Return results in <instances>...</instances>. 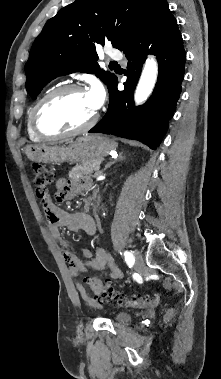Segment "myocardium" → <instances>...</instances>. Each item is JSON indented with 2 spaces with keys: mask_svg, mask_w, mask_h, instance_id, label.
<instances>
[{
  "mask_svg": "<svg viewBox=\"0 0 221 379\" xmlns=\"http://www.w3.org/2000/svg\"><path fill=\"white\" fill-rule=\"evenodd\" d=\"M71 92H84V89L77 84H66V85L56 87L52 89L50 92H48L45 96H43L41 100L34 107V110L32 112V118H31L32 127L34 131L36 132V134L39 135L41 138L59 139V138L76 135L90 129L97 122L99 118V114L98 112L95 111L94 115L86 123L74 129L56 132V133H50V132L45 131L41 127L40 116L43 109L56 98L63 96L67 93H71Z\"/></svg>",
  "mask_w": 221,
  "mask_h": 379,
  "instance_id": "obj_1",
  "label": "myocardium"
}]
</instances>
